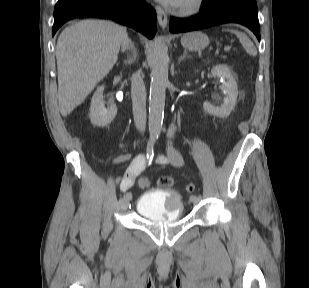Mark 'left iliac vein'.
Segmentation results:
<instances>
[{"label":"left iliac vein","instance_id":"1","mask_svg":"<svg viewBox=\"0 0 309 288\" xmlns=\"http://www.w3.org/2000/svg\"><path fill=\"white\" fill-rule=\"evenodd\" d=\"M193 204H198L200 199H198L197 197L194 200H190Z\"/></svg>","mask_w":309,"mask_h":288}]
</instances>
